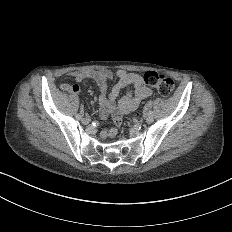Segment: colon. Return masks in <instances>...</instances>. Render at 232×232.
<instances>
[{"instance_id": "colon-1", "label": "colon", "mask_w": 232, "mask_h": 232, "mask_svg": "<svg viewBox=\"0 0 232 232\" xmlns=\"http://www.w3.org/2000/svg\"><path fill=\"white\" fill-rule=\"evenodd\" d=\"M144 81L153 86V91H159L162 98L172 97V90H169V86H175V81H170L166 76H161L157 80V76L153 72H148L144 76Z\"/></svg>"}]
</instances>
